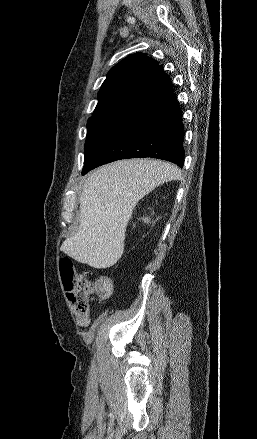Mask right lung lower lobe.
Returning <instances> with one entry per match:
<instances>
[{"mask_svg":"<svg viewBox=\"0 0 257 439\" xmlns=\"http://www.w3.org/2000/svg\"><path fill=\"white\" fill-rule=\"evenodd\" d=\"M184 127L173 92L126 119L84 165L88 171L126 158L153 157L182 167Z\"/></svg>","mask_w":257,"mask_h":439,"instance_id":"obj_1","label":"right lung lower lobe"}]
</instances>
